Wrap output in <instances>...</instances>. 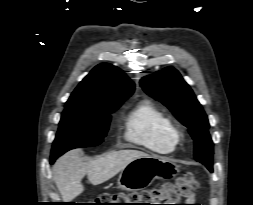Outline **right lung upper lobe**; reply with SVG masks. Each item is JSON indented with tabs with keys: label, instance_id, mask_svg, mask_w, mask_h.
I'll return each instance as SVG.
<instances>
[{
	"label": "right lung upper lobe",
	"instance_id": "cb5924a9",
	"mask_svg": "<svg viewBox=\"0 0 253 205\" xmlns=\"http://www.w3.org/2000/svg\"><path fill=\"white\" fill-rule=\"evenodd\" d=\"M134 92V83L119 68L99 64L81 81L66 107L98 108L117 99L128 98Z\"/></svg>",
	"mask_w": 253,
	"mask_h": 205
}]
</instances>
